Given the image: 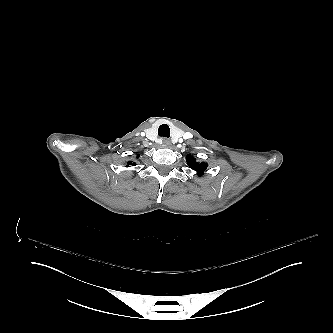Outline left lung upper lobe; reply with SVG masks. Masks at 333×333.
<instances>
[{"label": "left lung upper lobe", "instance_id": "1", "mask_svg": "<svg viewBox=\"0 0 333 333\" xmlns=\"http://www.w3.org/2000/svg\"><path fill=\"white\" fill-rule=\"evenodd\" d=\"M186 161L188 166L194 171H196L199 176H202L204 174L208 166L205 162H196V159L191 155L186 156Z\"/></svg>", "mask_w": 333, "mask_h": 333}]
</instances>
